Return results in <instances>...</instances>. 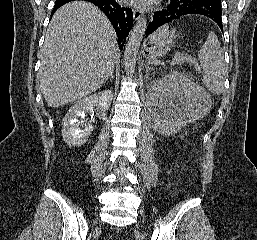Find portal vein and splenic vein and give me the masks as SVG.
Returning <instances> with one entry per match:
<instances>
[{
	"mask_svg": "<svg viewBox=\"0 0 257 240\" xmlns=\"http://www.w3.org/2000/svg\"><path fill=\"white\" fill-rule=\"evenodd\" d=\"M187 60H191L190 58H188L187 56H184L182 54H178L176 56H174L172 62H171V65H174V64H182L184 61H187Z\"/></svg>",
	"mask_w": 257,
	"mask_h": 240,
	"instance_id": "1",
	"label": "portal vein and splenic vein"
}]
</instances>
